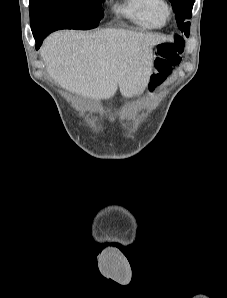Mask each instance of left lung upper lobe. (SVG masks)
Returning a JSON list of instances; mask_svg holds the SVG:
<instances>
[{"instance_id":"obj_1","label":"left lung upper lobe","mask_w":227,"mask_h":298,"mask_svg":"<svg viewBox=\"0 0 227 298\" xmlns=\"http://www.w3.org/2000/svg\"><path fill=\"white\" fill-rule=\"evenodd\" d=\"M169 1L172 3L178 28L186 35V37H188L190 22H187L186 20L192 17V7L194 4V0H169Z\"/></svg>"}]
</instances>
